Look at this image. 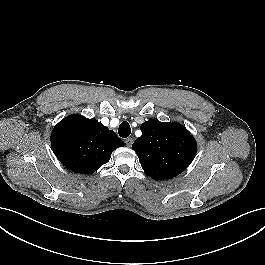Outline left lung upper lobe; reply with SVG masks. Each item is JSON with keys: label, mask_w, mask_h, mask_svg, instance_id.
Masks as SVG:
<instances>
[{"label": "left lung upper lobe", "mask_w": 265, "mask_h": 265, "mask_svg": "<svg viewBox=\"0 0 265 265\" xmlns=\"http://www.w3.org/2000/svg\"><path fill=\"white\" fill-rule=\"evenodd\" d=\"M142 136L132 145L145 173L154 180L170 179L183 172L196 155L197 144L179 123L150 119L142 123Z\"/></svg>", "instance_id": "obj_1"}]
</instances>
